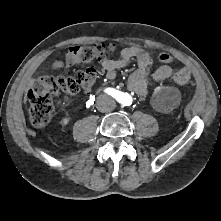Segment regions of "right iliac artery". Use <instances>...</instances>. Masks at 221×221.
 <instances>
[{
	"label": "right iliac artery",
	"mask_w": 221,
	"mask_h": 221,
	"mask_svg": "<svg viewBox=\"0 0 221 221\" xmlns=\"http://www.w3.org/2000/svg\"><path fill=\"white\" fill-rule=\"evenodd\" d=\"M105 92H106L107 94L111 95V96H114V97L118 95L117 90H115V89H113V88H107V89L105 90Z\"/></svg>",
	"instance_id": "right-iliac-artery-1"
}]
</instances>
